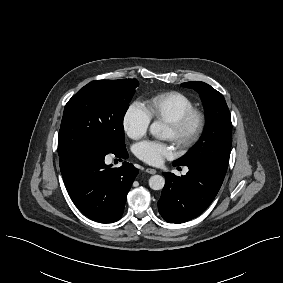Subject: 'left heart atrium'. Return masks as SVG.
Segmentation results:
<instances>
[{
	"label": "left heart atrium",
	"instance_id": "obj_1",
	"mask_svg": "<svg viewBox=\"0 0 283 283\" xmlns=\"http://www.w3.org/2000/svg\"><path fill=\"white\" fill-rule=\"evenodd\" d=\"M135 153L142 161L159 165L172 155V148L166 143L148 140L138 143L135 146Z\"/></svg>",
	"mask_w": 283,
	"mask_h": 283
}]
</instances>
